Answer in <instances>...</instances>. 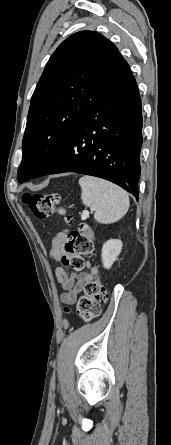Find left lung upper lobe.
<instances>
[{
    "label": "left lung upper lobe",
    "instance_id": "obj_1",
    "mask_svg": "<svg viewBox=\"0 0 171 445\" xmlns=\"http://www.w3.org/2000/svg\"><path fill=\"white\" fill-rule=\"evenodd\" d=\"M131 75L117 47L99 33L80 31L64 40L48 60L31 99L18 181L34 176L78 119Z\"/></svg>",
    "mask_w": 171,
    "mask_h": 445
}]
</instances>
